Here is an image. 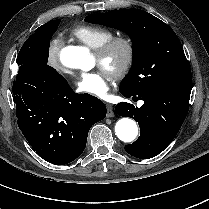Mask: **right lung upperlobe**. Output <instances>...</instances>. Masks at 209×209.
Instances as JSON below:
<instances>
[{
  "label": "right lung upper lobe",
  "instance_id": "cb5924a9",
  "mask_svg": "<svg viewBox=\"0 0 209 209\" xmlns=\"http://www.w3.org/2000/svg\"><path fill=\"white\" fill-rule=\"evenodd\" d=\"M53 22H54V20H51V21L47 22L46 24L40 26L36 30H39L40 31V30L46 29V28L50 27L53 24Z\"/></svg>",
  "mask_w": 209,
  "mask_h": 209
}]
</instances>
